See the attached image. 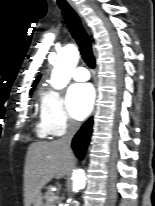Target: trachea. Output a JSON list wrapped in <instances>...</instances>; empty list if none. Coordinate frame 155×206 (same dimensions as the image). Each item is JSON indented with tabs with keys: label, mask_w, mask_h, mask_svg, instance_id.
I'll return each instance as SVG.
<instances>
[{
	"label": "trachea",
	"mask_w": 155,
	"mask_h": 206,
	"mask_svg": "<svg viewBox=\"0 0 155 206\" xmlns=\"http://www.w3.org/2000/svg\"><path fill=\"white\" fill-rule=\"evenodd\" d=\"M58 5L62 10L63 17L71 35L76 40L79 46V50L83 60L90 68H94L95 59L92 53L90 40L82 27L81 21L77 13L66 1H59Z\"/></svg>",
	"instance_id": "3493384b"
}]
</instances>
